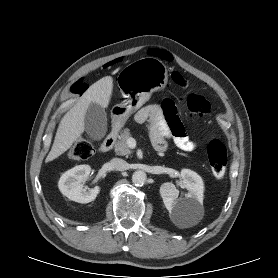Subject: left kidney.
I'll return each instance as SVG.
<instances>
[{
	"instance_id": "left-kidney-1",
	"label": "left kidney",
	"mask_w": 278,
	"mask_h": 278,
	"mask_svg": "<svg viewBox=\"0 0 278 278\" xmlns=\"http://www.w3.org/2000/svg\"><path fill=\"white\" fill-rule=\"evenodd\" d=\"M181 185L188 190L185 197L178 198L179 191L173 183H164L160 194L171 217L178 221L193 219L203 209L204 184L202 178L194 171H181Z\"/></svg>"
}]
</instances>
